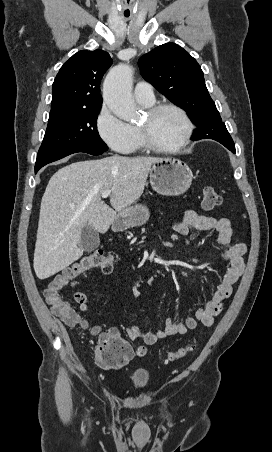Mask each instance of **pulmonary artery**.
<instances>
[{"instance_id":"pulmonary-artery-1","label":"pulmonary artery","mask_w":272,"mask_h":452,"mask_svg":"<svg viewBox=\"0 0 272 452\" xmlns=\"http://www.w3.org/2000/svg\"><path fill=\"white\" fill-rule=\"evenodd\" d=\"M134 97L140 103L153 104L155 97L151 84L147 82H139L134 89Z\"/></svg>"}]
</instances>
